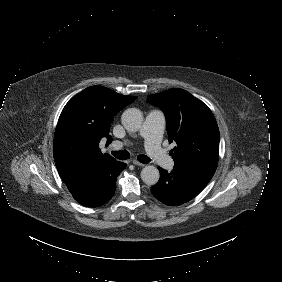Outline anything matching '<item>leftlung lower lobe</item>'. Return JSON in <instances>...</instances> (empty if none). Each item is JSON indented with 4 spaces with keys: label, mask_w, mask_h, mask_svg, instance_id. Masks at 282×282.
I'll list each match as a JSON object with an SVG mask.
<instances>
[{
    "label": "left lung lower lobe",
    "mask_w": 282,
    "mask_h": 282,
    "mask_svg": "<svg viewBox=\"0 0 282 282\" xmlns=\"http://www.w3.org/2000/svg\"><path fill=\"white\" fill-rule=\"evenodd\" d=\"M216 168L217 164L204 161L175 165L171 172L158 167L160 179L151 192L166 205H182L203 190Z\"/></svg>",
    "instance_id": "obj_1"
}]
</instances>
